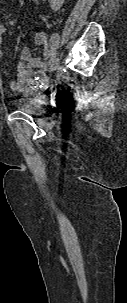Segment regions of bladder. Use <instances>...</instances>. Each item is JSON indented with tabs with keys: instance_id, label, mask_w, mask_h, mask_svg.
Segmentation results:
<instances>
[{
	"instance_id": "bladder-1",
	"label": "bladder",
	"mask_w": 127,
	"mask_h": 303,
	"mask_svg": "<svg viewBox=\"0 0 127 303\" xmlns=\"http://www.w3.org/2000/svg\"><path fill=\"white\" fill-rule=\"evenodd\" d=\"M13 106L19 110L33 115H41L44 102L33 94H26L12 99Z\"/></svg>"
}]
</instances>
